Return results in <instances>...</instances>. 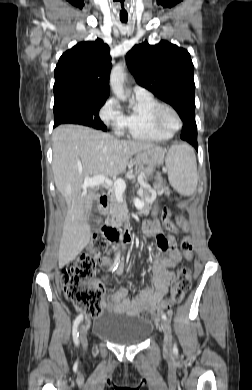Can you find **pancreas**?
<instances>
[{
    "label": "pancreas",
    "mask_w": 252,
    "mask_h": 390,
    "mask_svg": "<svg viewBox=\"0 0 252 390\" xmlns=\"http://www.w3.org/2000/svg\"><path fill=\"white\" fill-rule=\"evenodd\" d=\"M159 189L160 188H158V190ZM154 200H155V197H152L150 202H144V206L139 209L140 216H143V217L150 216V213H149L150 205L152 204V202ZM110 201H111V207H112L111 211L114 212L118 208V200H117V195L115 192L111 193Z\"/></svg>",
    "instance_id": "cf45deb5"
}]
</instances>
